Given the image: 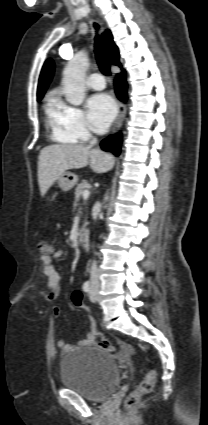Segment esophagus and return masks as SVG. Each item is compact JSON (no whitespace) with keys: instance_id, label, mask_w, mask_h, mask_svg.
Instances as JSON below:
<instances>
[{"instance_id":"esophagus-1","label":"esophagus","mask_w":208,"mask_h":425,"mask_svg":"<svg viewBox=\"0 0 208 425\" xmlns=\"http://www.w3.org/2000/svg\"><path fill=\"white\" fill-rule=\"evenodd\" d=\"M118 106H119V112H118L117 119L113 125V132H117L120 129V126L126 114V108L124 104L119 102Z\"/></svg>"}]
</instances>
